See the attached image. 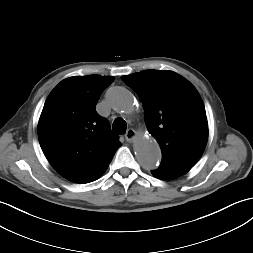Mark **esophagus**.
Listing matches in <instances>:
<instances>
[{"label":"esophagus","mask_w":253,"mask_h":253,"mask_svg":"<svg viewBox=\"0 0 253 253\" xmlns=\"http://www.w3.org/2000/svg\"><path fill=\"white\" fill-rule=\"evenodd\" d=\"M125 138L128 142H132L136 138L135 130L132 128H129L125 134Z\"/></svg>","instance_id":"obj_1"}]
</instances>
